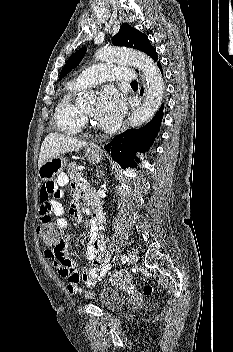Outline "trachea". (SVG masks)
<instances>
[{
    "instance_id": "1",
    "label": "trachea",
    "mask_w": 233,
    "mask_h": 352,
    "mask_svg": "<svg viewBox=\"0 0 233 352\" xmlns=\"http://www.w3.org/2000/svg\"><path fill=\"white\" fill-rule=\"evenodd\" d=\"M131 85H138L137 81L131 82Z\"/></svg>"
}]
</instances>
